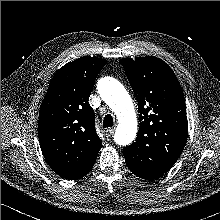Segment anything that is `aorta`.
I'll return each instance as SVG.
<instances>
[{
  "instance_id": "762f6f07",
  "label": "aorta",
  "mask_w": 220,
  "mask_h": 220,
  "mask_svg": "<svg viewBox=\"0 0 220 220\" xmlns=\"http://www.w3.org/2000/svg\"><path fill=\"white\" fill-rule=\"evenodd\" d=\"M98 92L118 118L115 142L129 145L137 133V118L130 95L118 80L111 77H104L98 82Z\"/></svg>"
}]
</instances>
